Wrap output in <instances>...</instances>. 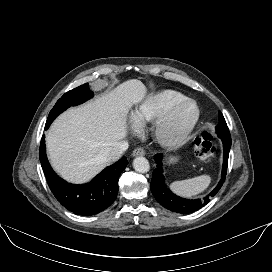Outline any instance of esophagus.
I'll return each mask as SVG.
<instances>
[{"instance_id": "obj_1", "label": "esophagus", "mask_w": 272, "mask_h": 272, "mask_svg": "<svg viewBox=\"0 0 272 272\" xmlns=\"http://www.w3.org/2000/svg\"><path fill=\"white\" fill-rule=\"evenodd\" d=\"M132 155L134 157L144 156L145 155V150L143 148H136V149L133 150Z\"/></svg>"}]
</instances>
